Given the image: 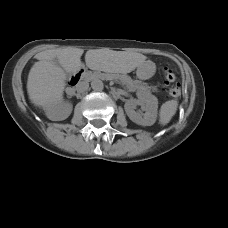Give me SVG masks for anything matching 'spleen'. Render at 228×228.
<instances>
[{"label": "spleen", "mask_w": 228, "mask_h": 228, "mask_svg": "<svg viewBox=\"0 0 228 228\" xmlns=\"http://www.w3.org/2000/svg\"><path fill=\"white\" fill-rule=\"evenodd\" d=\"M178 99H172L163 103L159 110V124L161 126L167 125L178 109Z\"/></svg>", "instance_id": "spleen-1"}]
</instances>
